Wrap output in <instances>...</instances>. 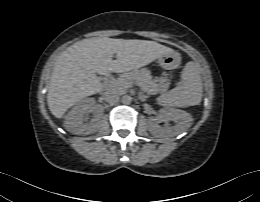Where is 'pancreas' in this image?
Returning <instances> with one entry per match:
<instances>
[{"mask_svg": "<svg viewBox=\"0 0 260 202\" xmlns=\"http://www.w3.org/2000/svg\"><path fill=\"white\" fill-rule=\"evenodd\" d=\"M133 84L140 86L148 95L165 92L169 86L165 79H154L146 68L121 74L117 79H108L105 82L109 91L118 93H125Z\"/></svg>", "mask_w": 260, "mask_h": 202, "instance_id": "1", "label": "pancreas"}]
</instances>
